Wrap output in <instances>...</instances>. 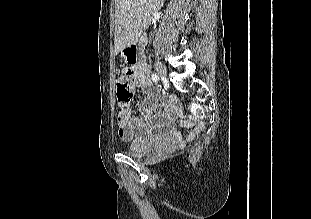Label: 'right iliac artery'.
<instances>
[{
	"mask_svg": "<svg viewBox=\"0 0 311 219\" xmlns=\"http://www.w3.org/2000/svg\"><path fill=\"white\" fill-rule=\"evenodd\" d=\"M152 80L154 82H157L159 80V77H158V75L156 73L152 74Z\"/></svg>",
	"mask_w": 311,
	"mask_h": 219,
	"instance_id": "obj_1",
	"label": "right iliac artery"
}]
</instances>
